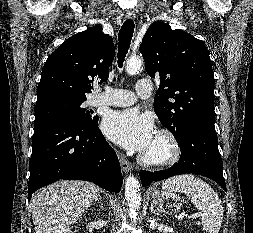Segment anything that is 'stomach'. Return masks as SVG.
<instances>
[{"mask_svg": "<svg viewBox=\"0 0 253 233\" xmlns=\"http://www.w3.org/2000/svg\"><path fill=\"white\" fill-rule=\"evenodd\" d=\"M152 201L156 209L162 214H176L180 211L183 201L174 191L164 187L155 189L152 194Z\"/></svg>", "mask_w": 253, "mask_h": 233, "instance_id": "0dacf381", "label": "stomach"}]
</instances>
